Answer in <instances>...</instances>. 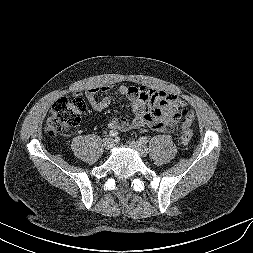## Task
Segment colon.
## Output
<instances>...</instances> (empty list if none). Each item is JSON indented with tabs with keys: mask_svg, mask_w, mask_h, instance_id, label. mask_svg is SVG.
Returning <instances> with one entry per match:
<instances>
[{
	"mask_svg": "<svg viewBox=\"0 0 253 253\" xmlns=\"http://www.w3.org/2000/svg\"><path fill=\"white\" fill-rule=\"evenodd\" d=\"M85 111V103L80 97H61L52 106L45 126V131L50 136H55L75 127L81 120ZM189 116L188 110L184 111ZM192 139V132L185 130L181 136L184 144Z\"/></svg>",
	"mask_w": 253,
	"mask_h": 253,
	"instance_id": "5ec220e1",
	"label": "colon"
}]
</instances>
